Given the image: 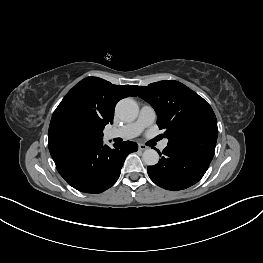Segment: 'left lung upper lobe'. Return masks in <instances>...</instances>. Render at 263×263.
Masks as SVG:
<instances>
[{
	"label": "left lung upper lobe",
	"mask_w": 263,
	"mask_h": 263,
	"mask_svg": "<svg viewBox=\"0 0 263 263\" xmlns=\"http://www.w3.org/2000/svg\"><path fill=\"white\" fill-rule=\"evenodd\" d=\"M137 95L155 109L168 146L213 157L217 120L211 106L184 84L169 80L145 87L133 85Z\"/></svg>",
	"instance_id": "5c2ea615"
}]
</instances>
